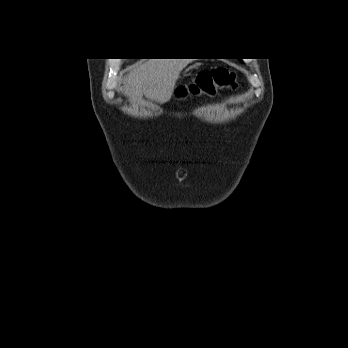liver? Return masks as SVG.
Wrapping results in <instances>:
<instances>
[{"instance_id":"liver-1","label":"liver","mask_w":348,"mask_h":348,"mask_svg":"<svg viewBox=\"0 0 348 348\" xmlns=\"http://www.w3.org/2000/svg\"><path fill=\"white\" fill-rule=\"evenodd\" d=\"M191 59H148L132 69L125 81L124 91L138 99L143 94L160 104L170 100L181 71Z\"/></svg>"}]
</instances>
